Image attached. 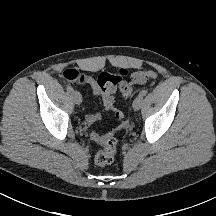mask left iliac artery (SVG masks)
I'll return each mask as SVG.
<instances>
[{"instance_id": "obj_1", "label": "left iliac artery", "mask_w": 216, "mask_h": 216, "mask_svg": "<svg viewBox=\"0 0 216 216\" xmlns=\"http://www.w3.org/2000/svg\"><path fill=\"white\" fill-rule=\"evenodd\" d=\"M147 93H148V91L146 89H143L142 91H140L138 96L143 98Z\"/></svg>"}]
</instances>
